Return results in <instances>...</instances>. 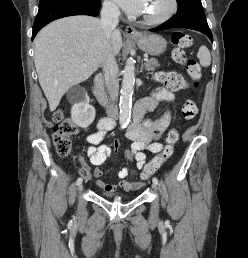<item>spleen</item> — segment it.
<instances>
[{
    "label": "spleen",
    "instance_id": "3e777b00",
    "mask_svg": "<svg viewBox=\"0 0 248 258\" xmlns=\"http://www.w3.org/2000/svg\"><path fill=\"white\" fill-rule=\"evenodd\" d=\"M197 57L200 61V64L203 67H208L211 63V55H210V51L208 50V48L206 46H201L199 48V51L197 53Z\"/></svg>",
    "mask_w": 248,
    "mask_h": 258
}]
</instances>
